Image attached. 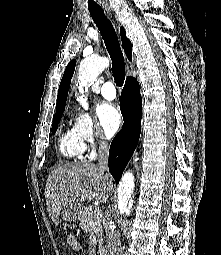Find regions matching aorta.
<instances>
[{"label": "aorta", "mask_w": 221, "mask_h": 255, "mask_svg": "<svg viewBox=\"0 0 221 255\" xmlns=\"http://www.w3.org/2000/svg\"><path fill=\"white\" fill-rule=\"evenodd\" d=\"M104 68V65H95L88 68L79 80V92L83 93L87 90L91 84L96 80L100 71ZM77 100L80 102L82 107L87 110L88 103L86 99L78 97ZM135 187V177L132 172L127 171L123 174L121 181L118 186V207L121 214L130 215L131 208L133 205V193Z\"/></svg>", "instance_id": "762f6f07"}]
</instances>
